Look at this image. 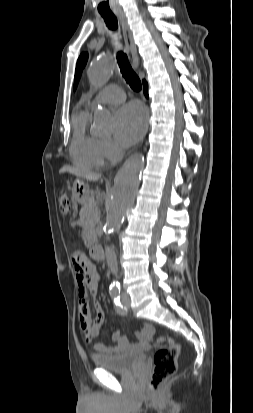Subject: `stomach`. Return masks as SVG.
<instances>
[{
    "label": "stomach",
    "mask_w": 253,
    "mask_h": 413,
    "mask_svg": "<svg viewBox=\"0 0 253 413\" xmlns=\"http://www.w3.org/2000/svg\"><path fill=\"white\" fill-rule=\"evenodd\" d=\"M72 197L80 204H85L90 197V189L82 180H75L72 187Z\"/></svg>",
    "instance_id": "0dacf381"
}]
</instances>
